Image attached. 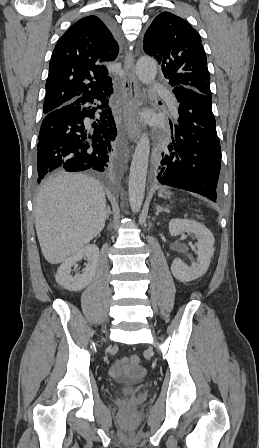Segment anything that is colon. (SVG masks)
Listing matches in <instances>:
<instances>
[{
	"instance_id": "5ec220e1",
	"label": "colon",
	"mask_w": 259,
	"mask_h": 448,
	"mask_svg": "<svg viewBox=\"0 0 259 448\" xmlns=\"http://www.w3.org/2000/svg\"><path fill=\"white\" fill-rule=\"evenodd\" d=\"M128 361H129V364L133 367L139 366V364H140V358L137 355H131L128 358Z\"/></svg>"
}]
</instances>
